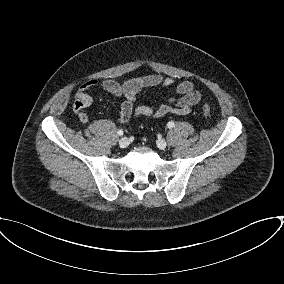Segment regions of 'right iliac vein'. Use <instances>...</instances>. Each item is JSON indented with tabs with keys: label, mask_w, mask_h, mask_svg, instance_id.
<instances>
[{
	"label": "right iliac vein",
	"mask_w": 284,
	"mask_h": 284,
	"mask_svg": "<svg viewBox=\"0 0 284 284\" xmlns=\"http://www.w3.org/2000/svg\"><path fill=\"white\" fill-rule=\"evenodd\" d=\"M129 139L128 138H126V137H123V138H121L120 140H119V146L121 147V148H126V147H128L129 146Z\"/></svg>",
	"instance_id": "1"
}]
</instances>
